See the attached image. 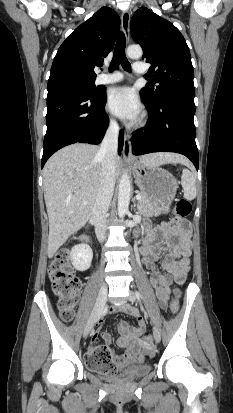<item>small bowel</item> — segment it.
Here are the masks:
<instances>
[{
    "label": "small bowel",
    "instance_id": "1",
    "mask_svg": "<svg viewBox=\"0 0 233 413\" xmlns=\"http://www.w3.org/2000/svg\"><path fill=\"white\" fill-rule=\"evenodd\" d=\"M190 225L181 218L170 222H164L149 230L144 238L141 249L142 261L150 271V281L155 289L156 297L161 308L166 309L170 294H178V289L173 284L182 285L190 269L191 239ZM161 260L160 271L156 262ZM111 312H124L136 319L137 325L119 324V330L125 335L118 341V346L125 349V353L115 357V362L120 365L139 363L144 359L146 348L140 338L146 329L145 321L135 307L124 304L115 306ZM105 342L104 346L98 345V337L92 335L91 345L85 353V359L95 354L101 348H108L111 335L107 332L101 333Z\"/></svg>",
    "mask_w": 233,
    "mask_h": 413
}]
</instances>
